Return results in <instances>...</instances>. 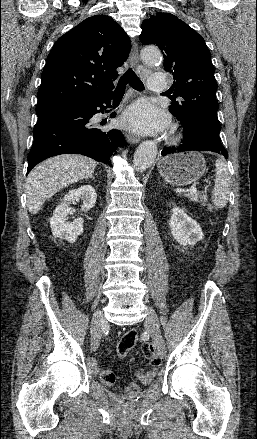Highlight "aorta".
Returning a JSON list of instances; mask_svg holds the SVG:
<instances>
[{
    "instance_id": "obj_1",
    "label": "aorta",
    "mask_w": 257,
    "mask_h": 439,
    "mask_svg": "<svg viewBox=\"0 0 257 439\" xmlns=\"http://www.w3.org/2000/svg\"><path fill=\"white\" fill-rule=\"evenodd\" d=\"M142 60L148 66H156L162 60L161 52L156 47H146L141 51ZM157 156V146L152 141L142 142L134 154V166L140 170L148 169Z\"/></svg>"
}]
</instances>
